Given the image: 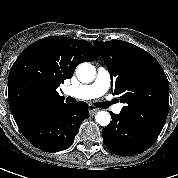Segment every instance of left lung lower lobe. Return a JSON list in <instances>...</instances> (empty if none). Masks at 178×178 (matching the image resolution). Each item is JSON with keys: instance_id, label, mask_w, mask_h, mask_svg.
<instances>
[{"instance_id": "0a47b994", "label": "left lung lower lobe", "mask_w": 178, "mask_h": 178, "mask_svg": "<svg viewBox=\"0 0 178 178\" xmlns=\"http://www.w3.org/2000/svg\"><path fill=\"white\" fill-rule=\"evenodd\" d=\"M111 123L102 130L105 146L117 155L132 156L147 150L161 130L135 121L120 113H111Z\"/></svg>"}]
</instances>
